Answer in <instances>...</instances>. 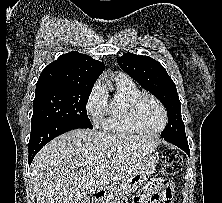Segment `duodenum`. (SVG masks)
<instances>
[{
	"label": "duodenum",
	"mask_w": 222,
	"mask_h": 203,
	"mask_svg": "<svg viewBox=\"0 0 222 203\" xmlns=\"http://www.w3.org/2000/svg\"><path fill=\"white\" fill-rule=\"evenodd\" d=\"M106 196V191L104 189H97L93 192L92 198L96 203H101Z\"/></svg>",
	"instance_id": "obj_1"
}]
</instances>
